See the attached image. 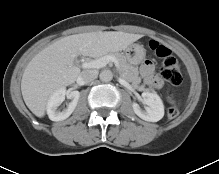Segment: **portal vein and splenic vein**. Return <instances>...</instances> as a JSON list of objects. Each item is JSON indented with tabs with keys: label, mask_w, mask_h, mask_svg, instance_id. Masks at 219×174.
Listing matches in <instances>:
<instances>
[{
	"label": "portal vein and splenic vein",
	"mask_w": 219,
	"mask_h": 174,
	"mask_svg": "<svg viewBox=\"0 0 219 174\" xmlns=\"http://www.w3.org/2000/svg\"><path fill=\"white\" fill-rule=\"evenodd\" d=\"M109 62H113L117 68H119L118 61L115 56L112 55H106L99 59L92 60L90 62H83L82 68H101L106 66Z\"/></svg>",
	"instance_id": "1"
}]
</instances>
